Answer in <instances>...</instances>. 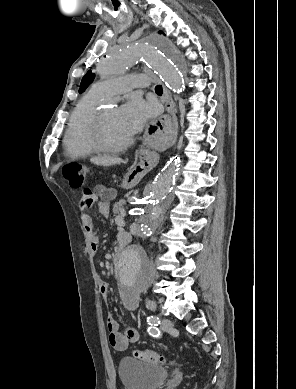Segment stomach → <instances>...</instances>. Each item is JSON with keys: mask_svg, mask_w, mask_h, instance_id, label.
<instances>
[{"mask_svg": "<svg viewBox=\"0 0 296 389\" xmlns=\"http://www.w3.org/2000/svg\"><path fill=\"white\" fill-rule=\"evenodd\" d=\"M151 172V169H141V168H128L125 171V180H123L122 187H132V186H138L142 180L146 178L147 175H149Z\"/></svg>", "mask_w": 296, "mask_h": 389, "instance_id": "obj_1", "label": "stomach"}]
</instances>
